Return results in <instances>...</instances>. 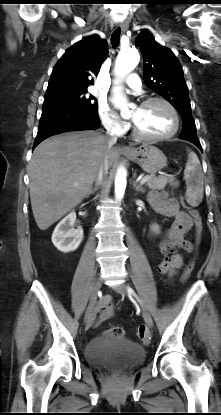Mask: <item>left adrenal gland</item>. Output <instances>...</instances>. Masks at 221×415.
I'll return each mask as SVG.
<instances>
[{"instance_id":"a2214340","label":"left adrenal gland","mask_w":221,"mask_h":415,"mask_svg":"<svg viewBox=\"0 0 221 415\" xmlns=\"http://www.w3.org/2000/svg\"><path fill=\"white\" fill-rule=\"evenodd\" d=\"M134 179H135V176H134ZM133 187L135 188V190L137 192H141L143 194L145 193L144 188L142 186L138 185L135 181L133 182Z\"/></svg>"}]
</instances>
